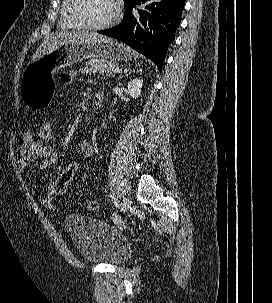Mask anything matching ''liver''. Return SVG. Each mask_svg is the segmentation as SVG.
Listing matches in <instances>:
<instances>
[{
  "mask_svg": "<svg viewBox=\"0 0 272 303\" xmlns=\"http://www.w3.org/2000/svg\"><path fill=\"white\" fill-rule=\"evenodd\" d=\"M107 37L95 32L88 31H61L49 35L37 48L32 62L39 60L46 53H49L53 49H57L61 45L69 43H91L96 40H106Z\"/></svg>",
  "mask_w": 272,
  "mask_h": 303,
  "instance_id": "1",
  "label": "liver"
}]
</instances>
